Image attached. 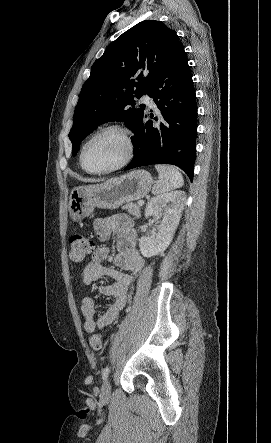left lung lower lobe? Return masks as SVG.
<instances>
[{
    "mask_svg": "<svg viewBox=\"0 0 271 443\" xmlns=\"http://www.w3.org/2000/svg\"><path fill=\"white\" fill-rule=\"evenodd\" d=\"M147 94L159 111L153 121L144 113L132 138L135 156L124 168L172 164L192 181L196 153L197 104L192 74L182 44L176 46L153 76ZM152 112V110H151ZM153 118V114H150Z\"/></svg>",
    "mask_w": 271,
    "mask_h": 443,
    "instance_id": "obj_1",
    "label": "left lung lower lobe"
}]
</instances>
